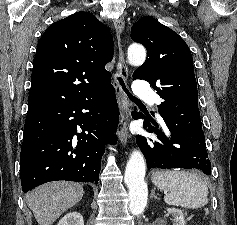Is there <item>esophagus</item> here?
I'll return each mask as SVG.
<instances>
[{"mask_svg": "<svg viewBox=\"0 0 237 225\" xmlns=\"http://www.w3.org/2000/svg\"><path fill=\"white\" fill-rule=\"evenodd\" d=\"M114 28H115V32H116V36H117V40H118L119 60H120V66L117 70V74L124 81H126L128 78V67L124 61V52H123V48H122V44H121V36L124 31V21L122 19L114 20ZM114 87L116 89L117 99H118L120 109H121L119 125H118L116 133H117V136H118L119 140L121 141V143L125 146L128 141V134H127V130H126L127 117H126V114H125L123 107L121 105V102H123L125 99V95H124L122 87L120 86L118 81L114 82Z\"/></svg>", "mask_w": 237, "mask_h": 225, "instance_id": "obj_1", "label": "esophagus"}]
</instances>
